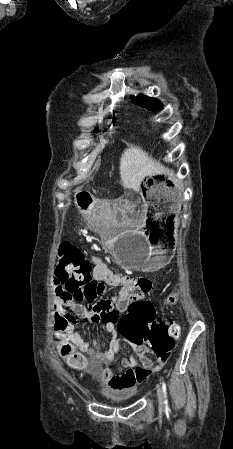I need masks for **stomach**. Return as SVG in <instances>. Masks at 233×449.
I'll return each instance as SVG.
<instances>
[{
	"mask_svg": "<svg viewBox=\"0 0 233 449\" xmlns=\"http://www.w3.org/2000/svg\"><path fill=\"white\" fill-rule=\"evenodd\" d=\"M146 206L144 223L132 201L94 202L87 210L78 206L93 228H102L104 249L123 268L153 272L164 267L176 249L179 185L171 180L146 177L141 187Z\"/></svg>",
	"mask_w": 233,
	"mask_h": 449,
	"instance_id": "0dacf381",
	"label": "stomach"
}]
</instances>
